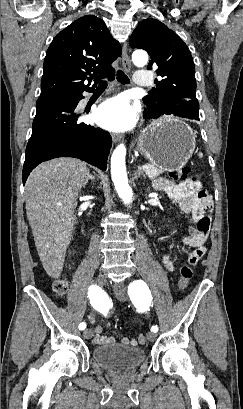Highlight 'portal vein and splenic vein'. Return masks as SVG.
<instances>
[{"instance_id": "1", "label": "portal vein and splenic vein", "mask_w": 243, "mask_h": 409, "mask_svg": "<svg viewBox=\"0 0 243 409\" xmlns=\"http://www.w3.org/2000/svg\"><path fill=\"white\" fill-rule=\"evenodd\" d=\"M143 170H147V169H149V166L148 165H143Z\"/></svg>"}]
</instances>
